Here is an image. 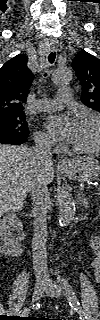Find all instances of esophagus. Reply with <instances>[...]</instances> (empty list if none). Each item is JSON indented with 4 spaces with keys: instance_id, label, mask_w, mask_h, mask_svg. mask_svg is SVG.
Returning <instances> with one entry per match:
<instances>
[{
    "instance_id": "34e87169",
    "label": "esophagus",
    "mask_w": 100,
    "mask_h": 320,
    "mask_svg": "<svg viewBox=\"0 0 100 320\" xmlns=\"http://www.w3.org/2000/svg\"><path fill=\"white\" fill-rule=\"evenodd\" d=\"M57 46L56 45H51V49L52 50H56ZM69 165V162L67 160H64V159H60L59 162H58V166L60 168H67V166Z\"/></svg>"
}]
</instances>
